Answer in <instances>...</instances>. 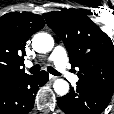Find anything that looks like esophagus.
Listing matches in <instances>:
<instances>
[{"mask_svg": "<svg viewBox=\"0 0 114 114\" xmlns=\"http://www.w3.org/2000/svg\"><path fill=\"white\" fill-rule=\"evenodd\" d=\"M49 79L51 80V81H54V80H56L57 79V77L56 76H54V75H49Z\"/></svg>", "mask_w": 114, "mask_h": 114, "instance_id": "esophagus-1", "label": "esophagus"}]
</instances>
